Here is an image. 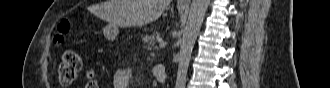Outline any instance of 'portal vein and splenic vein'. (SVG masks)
I'll list each match as a JSON object with an SVG mask.
<instances>
[{
    "label": "portal vein and splenic vein",
    "instance_id": "18ae733b",
    "mask_svg": "<svg viewBox=\"0 0 330 88\" xmlns=\"http://www.w3.org/2000/svg\"><path fill=\"white\" fill-rule=\"evenodd\" d=\"M158 42H159V47H165L167 45V42L163 41L162 39H159Z\"/></svg>",
    "mask_w": 330,
    "mask_h": 88
}]
</instances>
